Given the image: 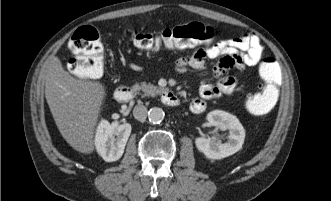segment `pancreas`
Wrapping results in <instances>:
<instances>
[{
    "label": "pancreas",
    "mask_w": 331,
    "mask_h": 201,
    "mask_svg": "<svg viewBox=\"0 0 331 201\" xmlns=\"http://www.w3.org/2000/svg\"><path fill=\"white\" fill-rule=\"evenodd\" d=\"M133 89L137 92L142 90L146 96H152V97L156 96L158 94H161L163 92V89L161 87H157L150 83H148V84L147 83H141V84L136 83L133 86Z\"/></svg>",
    "instance_id": "1"
}]
</instances>
